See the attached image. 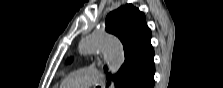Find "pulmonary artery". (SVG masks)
<instances>
[{
	"label": "pulmonary artery",
	"instance_id": "1",
	"mask_svg": "<svg viewBox=\"0 0 223 88\" xmlns=\"http://www.w3.org/2000/svg\"><path fill=\"white\" fill-rule=\"evenodd\" d=\"M104 76L92 68H83L70 73L62 81L64 88H86L92 85L104 84Z\"/></svg>",
	"mask_w": 223,
	"mask_h": 88
}]
</instances>
